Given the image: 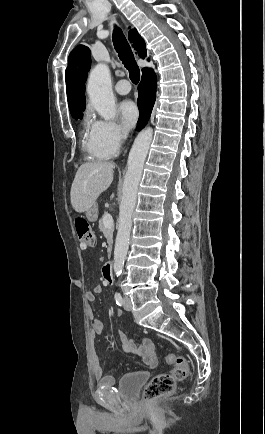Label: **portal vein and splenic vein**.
<instances>
[{"instance_id": "portal-vein-and-splenic-vein-1", "label": "portal vein and splenic vein", "mask_w": 265, "mask_h": 434, "mask_svg": "<svg viewBox=\"0 0 265 434\" xmlns=\"http://www.w3.org/2000/svg\"><path fill=\"white\" fill-rule=\"evenodd\" d=\"M103 222H104L105 228H111V226H113V218H112L111 214H104Z\"/></svg>"}]
</instances>
